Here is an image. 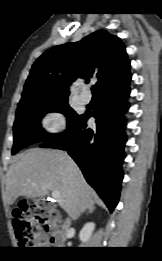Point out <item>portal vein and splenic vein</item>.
Masks as SVG:
<instances>
[{"mask_svg": "<svg viewBox=\"0 0 162 261\" xmlns=\"http://www.w3.org/2000/svg\"><path fill=\"white\" fill-rule=\"evenodd\" d=\"M32 185H35L34 183H32ZM51 197L55 200H59L60 198V193L58 191H53L51 192Z\"/></svg>", "mask_w": 162, "mask_h": 261, "instance_id": "obj_1", "label": "portal vein and splenic vein"}]
</instances>
